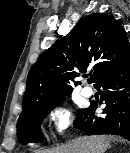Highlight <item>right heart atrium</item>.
I'll list each match as a JSON object with an SVG mask.
<instances>
[{"mask_svg":"<svg viewBox=\"0 0 130 153\" xmlns=\"http://www.w3.org/2000/svg\"><path fill=\"white\" fill-rule=\"evenodd\" d=\"M73 119V112L66 104L55 105L49 112L50 126L56 135H63L70 128Z\"/></svg>","mask_w":130,"mask_h":153,"instance_id":"right-heart-atrium-1","label":"right heart atrium"}]
</instances>
